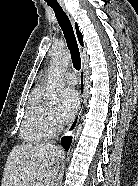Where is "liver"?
I'll return each instance as SVG.
<instances>
[{"instance_id":"1","label":"liver","mask_w":138,"mask_h":186,"mask_svg":"<svg viewBox=\"0 0 138 186\" xmlns=\"http://www.w3.org/2000/svg\"><path fill=\"white\" fill-rule=\"evenodd\" d=\"M62 156L55 145L29 142L13 147L5 164L1 186H33L45 179Z\"/></svg>"}]
</instances>
